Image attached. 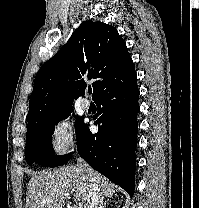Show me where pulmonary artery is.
Masks as SVG:
<instances>
[{"instance_id": "e3ab8cb5", "label": "pulmonary artery", "mask_w": 199, "mask_h": 208, "mask_svg": "<svg viewBox=\"0 0 199 208\" xmlns=\"http://www.w3.org/2000/svg\"><path fill=\"white\" fill-rule=\"evenodd\" d=\"M80 106L83 110H89L91 107V103L86 97H83L80 101Z\"/></svg>"}]
</instances>
